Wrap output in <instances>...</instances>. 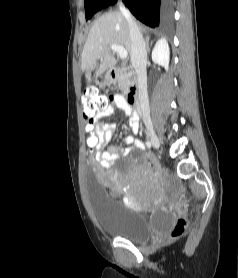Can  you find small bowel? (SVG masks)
Listing matches in <instances>:
<instances>
[{
    "mask_svg": "<svg viewBox=\"0 0 238 278\" xmlns=\"http://www.w3.org/2000/svg\"><path fill=\"white\" fill-rule=\"evenodd\" d=\"M112 101L116 107L123 110L128 116L129 125L133 132V135H126L123 137L122 142L128 145L130 149L141 150L143 148V144L134 136L139 132L138 114L129 106V104L121 95H115L112 98ZM113 112L114 110L112 107L106 108L97 116V120L94 123V131H100V139L95 141H99L100 145L97 149V156H95L93 160H95L104 168L110 167L119 157L126 156L130 151V149L123 150L116 146H109L118 124L116 122L107 123L103 119L112 115Z\"/></svg>",
    "mask_w": 238,
    "mask_h": 278,
    "instance_id": "obj_1",
    "label": "small bowel"
}]
</instances>
